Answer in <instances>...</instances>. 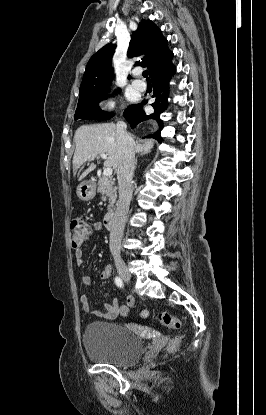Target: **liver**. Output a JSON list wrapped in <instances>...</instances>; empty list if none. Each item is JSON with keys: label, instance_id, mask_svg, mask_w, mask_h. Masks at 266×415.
I'll return each instance as SVG.
<instances>
[{"label": "liver", "instance_id": "liver-1", "mask_svg": "<svg viewBox=\"0 0 266 415\" xmlns=\"http://www.w3.org/2000/svg\"><path fill=\"white\" fill-rule=\"evenodd\" d=\"M133 140L134 152L145 154L151 151L154 145V140H146L139 144ZM76 149L73 156V172L80 168V166L87 160H94L99 154L106 153L108 156L105 161V166L118 168L120 160V148L117 141V129L114 123H102L94 125L80 126L74 135ZM90 157V159H88ZM96 167L91 164L86 169L79 180L85 178Z\"/></svg>", "mask_w": 266, "mask_h": 415}]
</instances>
